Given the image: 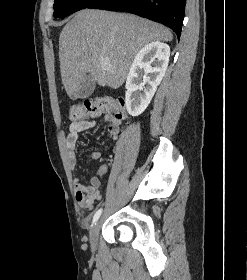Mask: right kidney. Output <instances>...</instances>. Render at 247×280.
<instances>
[{
  "label": "right kidney",
  "instance_id": "1",
  "mask_svg": "<svg viewBox=\"0 0 247 280\" xmlns=\"http://www.w3.org/2000/svg\"><path fill=\"white\" fill-rule=\"evenodd\" d=\"M169 57L170 47L159 41L151 42L138 51L125 86L126 107L130 115L138 116L148 107L165 75Z\"/></svg>",
  "mask_w": 247,
  "mask_h": 280
}]
</instances>
